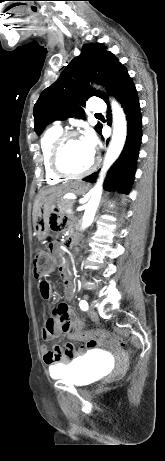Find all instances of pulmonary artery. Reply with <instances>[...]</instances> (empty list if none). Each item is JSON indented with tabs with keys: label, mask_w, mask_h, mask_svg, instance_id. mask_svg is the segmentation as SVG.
Returning a JSON list of instances; mask_svg holds the SVG:
<instances>
[{
	"label": "pulmonary artery",
	"mask_w": 165,
	"mask_h": 461,
	"mask_svg": "<svg viewBox=\"0 0 165 461\" xmlns=\"http://www.w3.org/2000/svg\"><path fill=\"white\" fill-rule=\"evenodd\" d=\"M89 102H90V104H89L88 108L92 112L101 113V112L105 111V105H104V103L102 102V100L100 98L92 97V98H90Z\"/></svg>",
	"instance_id": "obj_1"
}]
</instances>
